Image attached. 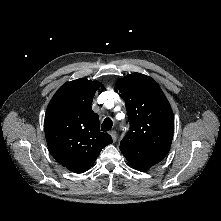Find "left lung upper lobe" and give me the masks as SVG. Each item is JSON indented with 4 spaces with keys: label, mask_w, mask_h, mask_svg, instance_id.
I'll use <instances>...</instances> for the list:
<instances>
[{
    "label": "left lung upper lobe",
    "mask_w": 221,
    "mask_h": 221,
    "mask_svg": "<svg viewBox=\"0 0 221 221\" xmlns=\"http://www.w3.org/2000/svg\"><path fill=\"white\" fill-rule=\"evenodd\" d=\"M116 86L130 122L120 150L132 167L145 171L169 152L174 132L172 109L159 85L146 75L133 73L118 80Z\"/></svg>",
    "instance_id": "1"
}]
</instances>
